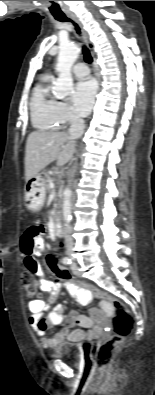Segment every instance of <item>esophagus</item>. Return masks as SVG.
Listing matches in <instances>:
<instances>
[{
  "mask_svg": "<svg viewBox=\"0 0 155 395\" xmlns=\"http://www.w3.org/2000/svg\"><path fill=\"white\" fill-rule=\"evenodd\" d=\"M67 17H69L70 19H72L80 28L82 36H83V40L85 42V44L87 45V47L89 48V50H92V44L88 38V34L87 32L83 29V26L81 24V22L79 21V19L76 17V15H74L73 13H67Z\"/></svg>",
  "mask_w": 155,
  "mask_h": 395,
  "instance_id": "34e87169",
  "label": "esophagus"
}]
</instances>
